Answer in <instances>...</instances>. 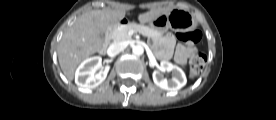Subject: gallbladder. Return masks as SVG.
I'll list each match as a JSON object with an SVG mask.
<instances>
[{"instance_id":"bac80fb5","label":"gallbladder","mask_w":276,"mask_h":120,"mask_svg":"<svg viewBox=\"0 0 276 120\" xmlns=\"http://www.w3.org/2000/svg\"><path fill=\"white\" fill-rule=\"evenodd\" d=\"M103 37H104V36L101 34V38H102V39H103Z\"/></svg>"}]
</instances>
